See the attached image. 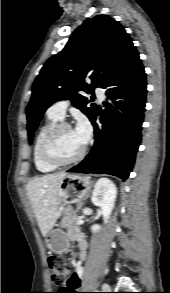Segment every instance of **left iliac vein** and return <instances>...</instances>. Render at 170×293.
Masks as SVG:
<instances>
[{"label": "left iliac vein", "instance_id": "1", "mask_svg": "<svg viewBox=\"0 0 170 293\" xmlns=\"http://www.w3.org/2000/svg\"><path fill=\"white\" fill-rule=\"evenodd\" d=\"M102 287L103 288H106V289H109L110 288L109 284H107V283H104Z\"/></svg>", "mask_w": 170, "mask_h": 293}]
</instances>
